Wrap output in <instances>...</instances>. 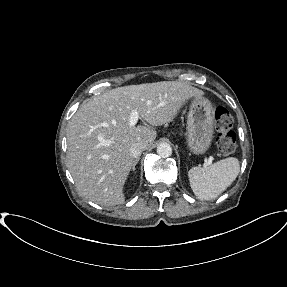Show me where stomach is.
<instances>
[{"mask_svg":"<svg viewBox=\"0 0 287 287\" xmlns=\"http://www.w3.org/2000/svg\"><path fill=\"white\" fill-rule=\"evenodd\" d=\"M215 125L212 103L204 97H194L187 117V148L197 155L209 149Z\"/></svg>","mask_w":287,"mask_h":287,"instance_id":"obj_1","label":"stomach"}]
</instances>
